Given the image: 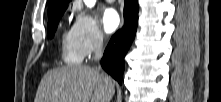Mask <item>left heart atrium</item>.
Returning a JSON list of instances; mask_svg holds the SVG:
<instances>
[{"mask_svg": "<svg viewBox=\"0 0 221 102\" xmlns=\"http://www.w3.org/2000/svg\"><path fill=\"white\" fill-rule=\"evenodd\" d=\"M120 24V17L113 8L107 9L102 18L103 29L106 33L113 32Z\"/></svg>", "mask_w": 221, "mask_h": 102, "instance_id": "obj_1", "label": "left heart atrium"}]
</instances>
